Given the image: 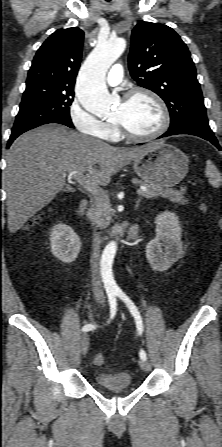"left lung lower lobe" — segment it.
I'll use <instances>...</instances> for the list:
<instances>
[{"instance_id":"left-lung-lower-lobe-1","label":"left lung lower lobe","mask_w":222,"mask_h":447,"mask_svg":"<svg viewBox=\"0 0 222 447\" xmlns=\"http://www.w3.org/2000/svg\"><path fill=\"white\" fill-rule=\"evenodd\" d=\"M177 134H189V135H195V136L201 137L203 139L210 141L219 150L221 149V147L212 131H205L199 127L189 125V124L179 125V126H176L173 128H169V130L166 133H164L162 136H160L159 138L167 137V136H171V135H177Z\"/></svg>"}]
</instances>
